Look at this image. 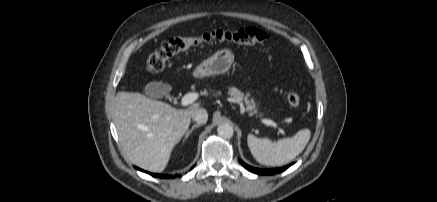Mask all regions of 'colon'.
Listing matches in <instances>:
<instances>
[{
	"instance_id": "colon-1",
	"label": "colon",
	"mask_w": 437,
	"mask_h": 202,
	"mask_svg": "<svg viewBox=\"0 0 437 202\" xmlns=\"http://www.w3.org/2000/svg\"><path fill=\"white\" fill-rule=\"evenodd\" d=\"M268 39L269 37L265 32L253 27L238 30L214 29L198 36L171 38L163 42L161 46L148 57L146 70L149 74H157L165 68L170 58L199 45L213 42L252 45L265 43ZM287 101L290 106L298 107L301 98L296 91H290L287 94Z\"/></svg>"
}]
</instances>
